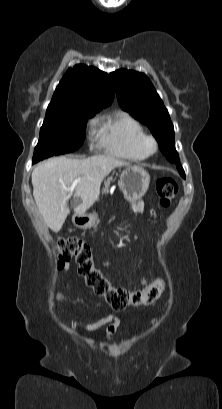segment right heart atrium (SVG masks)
I'll return each mask as SVG.
<instances>
[{"label":"right heart atrium","instance_id":"1","mask_svg":"<svg viewBox=\"0 0 222 409\" xmlns=\"http://www.w3.org/2000/svg\"><path fill=\"white\" fill-rule=\"evenodd\" d=\"M89 126H90L89 138L92 139V136L94 133L95 121L94 120L90 121Z\"/></svg>","mask_w":222,"mask_h":409}]
</instances>
